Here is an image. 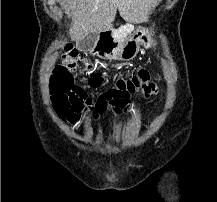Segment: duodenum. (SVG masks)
Masks as SVG:
<instances>
[{
	"label": "duodenum",
	"mask_w": 217,
	"mask_h": 202,
	"mask_svg": "<svg viewBox=\"0 0 217 202\" xmlns=\"http://www.w3.org/2000/svg\"><path fill=\"white\" fill-rule=\"evenodd\" d=\"M120 41L121 38L114 29L101 31L91 49V55L112 59L116 56ZM88 66L91 67V64H88Z\"/></svg>",
	"instance_id": "duodenum-1"
}]
</instances>
